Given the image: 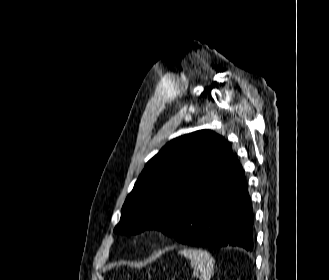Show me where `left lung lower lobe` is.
I'll return each instance as SVG.
<instances>
[{"label": "left lung lower lobe", "mask_w": 329, "mask_h": 280, "mask_svg": "<svg viewBox=\"0 0 329 280\" xmlns=\"http://www.w3.org/2000/svg\"><path fill=\"white\" fill-rule=\"evenodd\" d=\"M253 210L247 181L237 158L223 175L222 185L204 195L196 209L166 234L191 246L253 249Z\"/></svg>", "instance_id": "obj_1"}]
</instances>
